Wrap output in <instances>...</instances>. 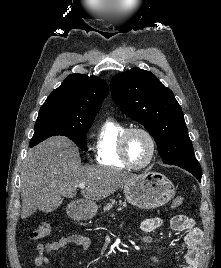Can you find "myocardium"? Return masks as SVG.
I'll return each instance as SVG.
<instances>
[{
  "label": "myocardium",
  "mask_w": 221,
  "mask_h": 268,
  "mask_svg": "<svg viewBox=\"0 0 221 268\" xmlns=\"http://www.w3.org/2000/svg\"><path fill=\"white\" fill-rule=\"evenodd\" d=\"M134 132L143 133L149 139L150 144H151V152H150V156H149L148 160L145 163L140 164V165H136V164L132 163L131 160L129 159L128 153H127V140L129 138V136ZM156 152H157V144H156L155 138L152 135V133L144 127L133 126V127L126 128L119 138L120 158L123 161V163L131 169L139 170V169H143V168H146L147 166H149L153 162L155 155H156Z\"/></svg>",
  "instance_id": "1"
}]
</instances>
